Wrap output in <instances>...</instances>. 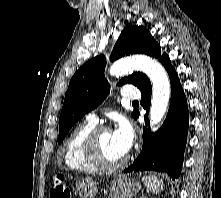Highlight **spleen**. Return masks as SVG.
Here are the masks:
<instances>
[{"mask_svg":"<svg viewBox=\"0 0 221 198\" xmlns=\"http://www.w3.org/2000/svg\"><path fill=\"white\" fill-rule=\"evenodd\" d=\"M142 181L144 182L146 188L152 193H159L161 190H163V181L155 175L143 176Z\"/></svg>","mask_w":221,"mask_h":198,"instance_id":"1","label":"spleen"}]
</instances>
